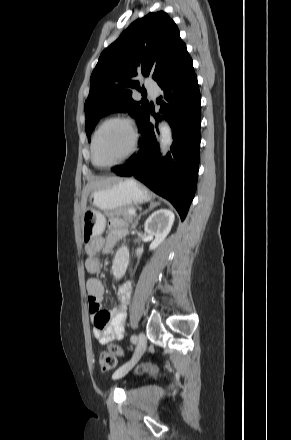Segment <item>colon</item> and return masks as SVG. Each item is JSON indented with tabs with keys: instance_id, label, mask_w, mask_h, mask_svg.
I'll list each match as a JSON object with an SVG mask.
<instances>
[{
	"instance_id": "colon-1",
	"label": "colon",
	"mask_w": 291,
	"mask_h": 440,
	"mask_svg": "<svg viewBox=\"0 0 291 440\" xmlns=\"http://www.w3.org/2000/svg\"><path fill=\"white\" fill-rule=\"evenodd\" d=\"M101 323L108 324L109 319L107 317L103 318L101 319ZM122 355L123 349L121 348V346L116 343H112L109 348L100 355L99 364L101 369L103 371H110L115 366L116 357ZM136 371H139V367L136 368Z\"/></svg>"
}]
</instances>
